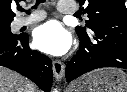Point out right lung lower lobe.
Listing matches in <instances>:
<instances>
[{"mask_svg": "<svg viewBox=\"0 0 127 92\" xmlns=\"http://www.w3.org/2000/svg\"><path fill=\"white\" fill-rule=\"evenodd\" d=\"M0 65L30 78L43 91H50L53 79L52 62L47 56L30 50L27 34L0 38Z\"/></svg>", "mask_w": 127, "mask_h": 92, "instance_id": "right-lung-lower-lobe-1", "label": "right lung lower lobe"}]
</instances>
